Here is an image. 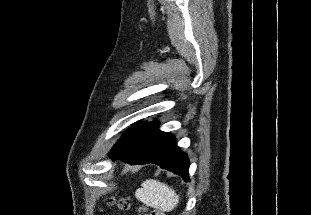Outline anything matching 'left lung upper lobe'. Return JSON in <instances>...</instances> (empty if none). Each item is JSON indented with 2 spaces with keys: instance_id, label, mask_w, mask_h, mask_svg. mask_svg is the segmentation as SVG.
I'll return each instance as SVG.
<instances>
[{
  "instance_id": "5c2ea615",
  "label": "left lung upper lobe",
  "mask_w": 311,
  "mask_h": 215,
  "mask_svg": "<svg viewBox=\"0 0 311 215\" xmlns=\"http://www.w3.org/2000/svg\"><path fill=\"white\" fill-rule=\"evenodd\" d=\"M145 125L146 123L138 124L133 126L131 129L127 130L126 132H124L122 137L112 148L110 156L113 157L115 155H118L122 151L127 149L131 145V143L135 140V138L138 136V134L144 128Z\"/></svg>"
}]
</instances>
